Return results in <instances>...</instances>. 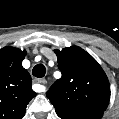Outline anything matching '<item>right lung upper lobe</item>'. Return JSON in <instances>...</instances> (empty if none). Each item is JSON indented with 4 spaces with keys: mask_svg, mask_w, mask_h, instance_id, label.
I'll use <instances>...</instances> for the list:
<instances>
[{
    "mask_svg": "<svg viewBox=\"0 0 119 119\" xmlns=\"http://www.w3.org/2000/svg\"><path fill=\"white\" fill-rule=\"evenodd\" d=\"M26 53L9 46L0 49V119H22L36 96L31 76L22 67Z\"/></svg>",
    "mask_w": 119,
    "mask_h": 119,
    "instance_id": "right-lung-upper-lobe-1",
    "label": "right lung upper lobe"
}]
</instances>
